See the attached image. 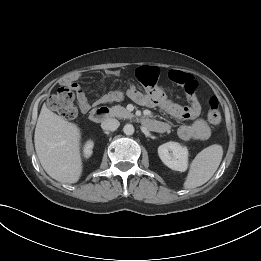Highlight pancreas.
Wrapping results in <instances>:
<instances>
[{"label": "pancreas", "mask_w": 261, "mask_h": 261, "mask_svg": "<svg viewBox=\"0 0 261 261\" xmlns=\"http://www.w3.org/2000/svg\"><path fill=\"white\" fill-rule=\"evenodd\" d=\"M111 115L119 118H133L134 115L127 111L124 107L117 105L113 106L111 109Z\"/></svg>", "instance_id": "cf45deb5"}]
</instances>
